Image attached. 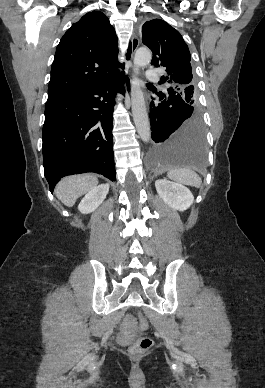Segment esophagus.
<instances>
[{
	"label": "esophagus",
	"mask_w": 265,
	"mask_h": 388,
	"mask_svg": "<svg viewBox=\"0 0 265 388\" xmlns=\"http://www.w3.org/2000/svg\"><path fill=\"white\" fill-rule=\"evenodd\" d=\"M139 46V39L136 36L132 37V50L135 51Z\"/></svg>",
	"instance_id": "34e87169"
}]
</instances>
